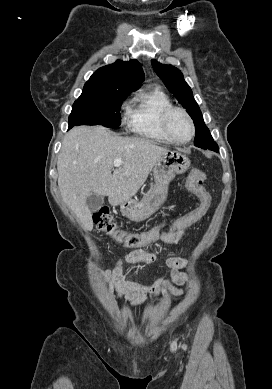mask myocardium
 <instances>
[{
    "mask_svg": "<svg viewBox=\"0 0 272 389\" xmlns=\"http://www.w3.org/2000/svg\"><path fill=\"white\" fill-rule=\"evenodd\" d=\"M176 112L182 113L186 117V119L188 120L189 125L191 127V135L186 140H180V139L176 138L170 129V125H169L170 118ZM161 126H162L164 133L170 138V140L174 143H177V144L189 143L194 138L195 133H196L194 121H193L191 115L188 113V111L186 109H184L182 107H178V106H171L163 112V114L161 116Z\"/></svg>",
    "mask_w": 272,
    "mask_h": 389,
    "instance_id": "obj_1",
    "label": "myocardium"
}]
</instances>
